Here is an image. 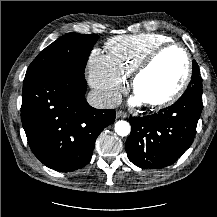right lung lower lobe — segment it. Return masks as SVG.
Masks as SVG:
<instances>
[{
    "mask_svg": "<svg viewBox=\"0 0 217 217\" xmlns=\"http://www.w3.org/2000/svg\"><path fill=\"white\" fill-rule=\"evenodd\" d=\"M87 82L67 64L51 65L23 81L21 118L29 146L45 166L73 171L91 159L96 138L115 110L91 107Z\"/></svg>",
    "mask_w": 217,
    "mask_h": 217,
    "instance_id": "right-lung-lower-lobe-1",
    "label": "right lung lower lobe"
}]
</instances>
